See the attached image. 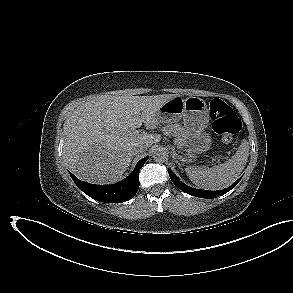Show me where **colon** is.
Listing matches in <instances>:
<instances>
[{"label":"colon","mask_w":293,"mask_h":293,"mask_svg":"<svg viewBox=\"0 0 293 293\" xmlns=\"http://www.w3.org/2000/svg\"><path fill=\"white\" fill-rule=\"evenodd\" d=\"M209 111L213 130L226 144L234 143L242 128V122L230 106L220 99H212L209 102Z\"/></svg>","instance_id":"1"}]
</instances>
